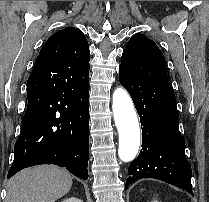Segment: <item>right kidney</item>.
I'll return each mask as SVG.
<instances>
[{"instance_id": "ca27d5eb", "label": "right kidney", "mask_w": 209, "mask_h": 202, "mask_svg": "<svg viewBox=\"0 0 209 202\" xmlns=\"http://www.w3.org/2000/svg\"><path fill=\"white\" fill-rule=\"evenodd\" d=\"M62 202H83V201L76 197H70V198L63 200Z\"/></svg>"}]
</instances>
